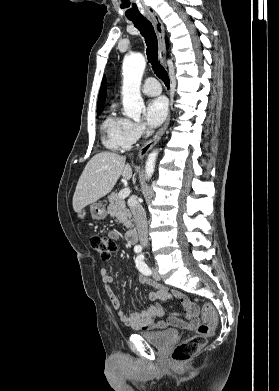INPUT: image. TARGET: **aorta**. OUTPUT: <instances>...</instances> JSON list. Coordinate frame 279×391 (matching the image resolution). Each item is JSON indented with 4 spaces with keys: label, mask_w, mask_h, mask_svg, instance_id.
Returning a JSON list of instances; mask_svg holds the SVG:
<instances>
[{
    "label": "aorta",
    "mask_w": 279,
    "mask_h": 391,
    "mask_svg": "<svg viewBox=\"0 0 279 391\" xmlns=\"http://www.w3.org/2000/svg\"><path fill=\"white\" fill-rule=\"evenodd\" d=\"M146 61L141 53L128 55L123 60V86L122 99L124 114L135 121L140 120L144 101L140 94V85ZM158 151L155 150L148 155L145 164V178L150 179L155 169Z\"/></svg>",
    "instance_id": "762f6f07"
}]
</instances>
